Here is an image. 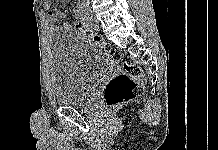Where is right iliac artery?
<instances>
[{
  "instance_id": "obj_1",
  "label": "right iliac artery",
  "mask_w": 218,
  "mask_h": 150,
  "mask_svg": "<svg viewBox=\"0 0 218 150\" xmlns=\"http://www.w3.org/2000/svg\"><path fill=\"white\" fill-rule=\"evenodd\" d=\"M78 17L84 22V23H91L90 18L87 17L83 12V7H80L78 11Z\"/></svg>"
}]
</instances>
